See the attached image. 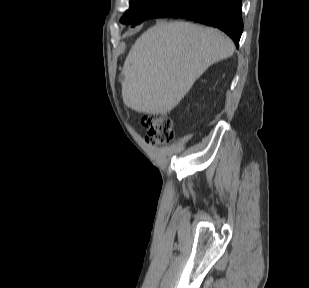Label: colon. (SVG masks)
I'll return each instance as SVG.
<instances>
[{
  "label": "colon",
  "instance_id": "5ec220e1",
  "mask_svg": "<svg viewBox=\"0 0 309 288\" xmlns=\"http://www.w3.org/2000/svg\"><path fill=\"white\" fill-rule=\"evenodd\" d=\"M142 125L147 129L146 141L152 145H167L174 138L172 119L166 113L145 115Z\"/></svg>",
  "mask_w": 309,
  "mask_h": 288
}]
</instances>
